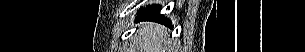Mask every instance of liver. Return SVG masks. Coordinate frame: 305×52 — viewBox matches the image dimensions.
<instances>
[{
  "label": "liver",
  "mask_w": 305,
  "mask_h": 52,
  "mask_svg": "<svg viewBox=\"0 0 305 52\" xmlns=\"http://www.w3.org/2000/svg\"><path fill=\"white\" fill-rule=\"evenodd\" d=\"M134 39L138 52H171L168 32L158 24L148 23L142 26Z\"/></svg>",
  "instance_id": "1"
}]
</instances>
